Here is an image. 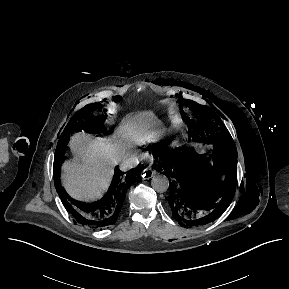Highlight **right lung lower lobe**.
Instances as JSON below:
<instances>
[{
  "instance_id": "obj_1",
  "label": "right lung lower lobe",
  "mask_w": 289,
  "mask_h": 289,
  "mask_svg": "<svg viewBox=\"0 0 289 289\" xmlns=\"http://www.w3.org/2000/svg\"><path fill=\"white\" fill-rule=\"evenodd\" d=\"M66 145H57L54 160V184L62 203L76 222L92 228L102 229L112 226L119 219L126 191L133 183L140 181L141 169L137 167L124 174L115 168L108 192L98 201L87 203L71 199L60 182V168L65 160Z\"/></svg>"
}]
</instances>
